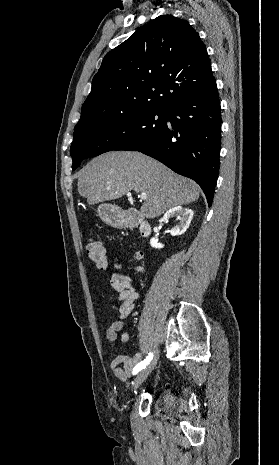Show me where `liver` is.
Instances as JSON below:
<instances>
[{
    "instance_id": "liver-1",
    "label": "liver",
    "mask_w": 279,
    "mask_h": 465,
    "mask_svg": "<svg viewBox=\"0 0 279 465\" xmlns=\"http://www.w3.org/2000/svg\"><path fill=\"white\" fill-rule=\"evenodd\" d=\"M131 190L147 194L140 214L148 219L197 201L200 194L194 181L139 152L104 153L79 173L78 192L89 205L118 199Z\"/></svg>"
}]
</instances>
